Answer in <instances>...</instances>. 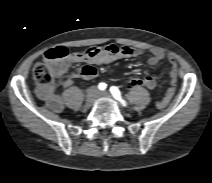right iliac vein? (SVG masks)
Returning <instances> with one entry per match:
<instances>
[{
  "label": "right iliac vein",
  "instance_id": "right-iliac-vein-1",
  "mask_svg": "<svg viewBox=\"0 0 212 183\" xmlns=\"http://www.w3.org/2000/svg\"><path fill=\"white\" fill-rule=\"evenodd\" d=\"M98 96L99 92L97 91V89H90L86 95L85 107L88 108L92 106Z\"/></svg>",
  "mask_w": 212,
  "mask_h": 183
}]
</instances>
